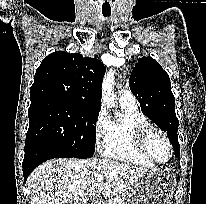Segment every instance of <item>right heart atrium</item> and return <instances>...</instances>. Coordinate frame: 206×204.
<instances>
[{"label":"right heart atrium","instance_id":"obj_1","mask_svg":"<svg viewBox=\"0 0 206 204\" xmlns=\"http://www.w3.org/2000/svg\"><path fill=\"white\" fill-rule=\"evenodd\" d=\"M109 118L107 111L104 107L98 111L93 128L95 135V142L98 147H101L105 141L107 128H108Z\"/></svg>","mask_w":206,"mask_h":204}]
</instances>
